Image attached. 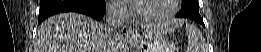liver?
<instances>
[{
    "mask_svg": "<svg viewBox=\"0 0 261 52\" xmlns=\"http://www.w3.org/2000/svg\"><path fill=\"white\" fill-rule=\"evenodd\" d=\"M151 28L146 26L143 28ZM158 31H169L157 27ZM120 45V46H119ZM122 43L105 36V25L77 13L55 15L37 30L34 52H122Z\"/></svg>",
    "mask_w": 261,
    "mask_h": 52,
    "instance_id": "6515ba94",
    "label": "liver"
}]
</instances>
